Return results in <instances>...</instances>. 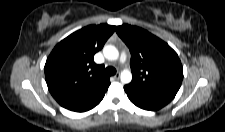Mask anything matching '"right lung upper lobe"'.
<instances>
[{
  "label": "right lung upper lobe",
  "instance_id": "1",
  "mask_svg": "<svg viewBox=\"0 0 225 132\" xmlns=\"http://www.w3.org/2000/svg\"><path fill=\"white\" fill-rule=\"evenodd\" d=\"M115 28L89 25L54 47L45 64V78L51 95L62 107L84 112L103 99L110 81L103 74L104 65L95 64L93 57Z\"/></svg>",
  "mask_w": 225,
  "mask_h": 132
}]
</instances>
